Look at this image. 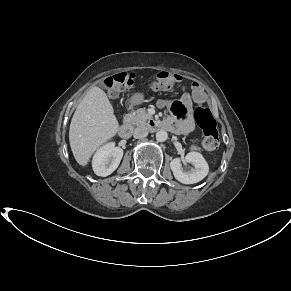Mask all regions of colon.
I'll return each instance as SVG.
<instances>
[{"mask_svg":"<svg viewBox=\"0 0 291 291\" xmlns=\"http://www.w3.org/2000/svg\"><path fill=\"white\" fill-rule=\"evenodd\" d=\"M181 78V75L177 73L160 71L153 75L152 85L157 91L169 90ZM134 82L135 76L132 73L121 72L106 79L103 86L111 96L115 97L118 91L130 89L134 85ZM194 95L198 101L203 99V92L198 84H195ZM173 107L179 115L183 114L184 110L182 106L174 104ZM194 118L203 132L201 146L208 151H215L219 146V132L211 111L207 108L199 107L195 111Z\"/></svg>","mask_w":291,"mask_h":291,"instance_id":"5ec220e1","label":"colon"}]
</instances>
